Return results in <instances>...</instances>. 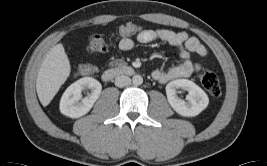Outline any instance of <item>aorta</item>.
I'll return each mask as SVG.
<instances>
[{
    "mask_svg": "<svg viewBox=\"0 0 267 166\" xmlns=\"http://www.w3.org/2000/svg\"><path fill=\"white\" fill-rule=\"evenodd\" d=\"M132 82L135 86H139L143 83V78L140 75H134L132 78Z\"/></svg>",
    "mask_w": 267,
    "mask_h": 166,
    "instance_id": "762f6f07",
    "label": "aorta"
}]
</instances>
